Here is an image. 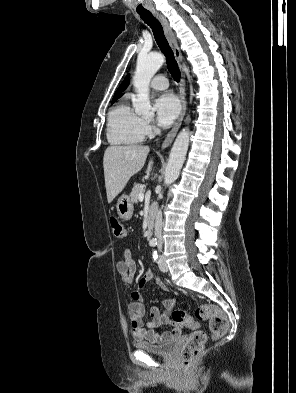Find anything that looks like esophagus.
Returning <instances> with one entry per match:
<instances>
[{"mask_svg": "<svg viewBox=\"0 0 296 393\" xmlns=\"http://www.w3.org/2000/svg\"><path fill=\"white\" fill-rule=\"evenodd\" d=\"M152 13L160 21V23L163 26L164 33H165L166 38H167V40L173 50L175 59L179 64V67H180V70H181L182 76H183V80H182V83L180 86V93H179V98H180V102H181V111H180V114H179L177 120L175 121L172 129L169 131V133L167 134L166 138L164 139V141L162 143V149H165L172 144V142H173V140H174L181 124H182L184 116L186 114L187 103H186V92H185V76H184V69L182 66L183 57H182L180 48L178 46V43L175 39L172 28L170 27L168 21L161 14H159L155 10H153Z\"/></svg>", "mask_w": 296, "mask_h": 393, "instance_id": "esophagus-1", "label": "esophagus"}]
</instances>
